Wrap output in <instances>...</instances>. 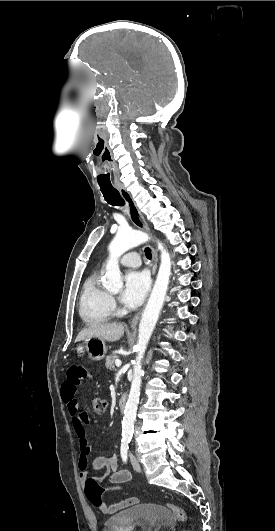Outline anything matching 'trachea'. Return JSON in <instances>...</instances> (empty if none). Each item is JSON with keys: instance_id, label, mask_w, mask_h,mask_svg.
Wrapping results in <instances>:
<instances>
[{"instance_id": "1", "label": "trachea", "mask_w": 275, "mask_h": 531, "mask_svg": "<svg viewBox=\"0 0 275 531\" xmlns=\"http://www.w3.org/2000/svg\"><path fill=\"white\" fill-rule=\"evenodd\" d=\"M105 200L108 202V204H111L112 206H124L125 201L121 197L119 191L115 189L113 186H106L100 188ZM145 256L148 259L152 258L151 250L150 248H145Z\"/></svg>"}]
</instances>
